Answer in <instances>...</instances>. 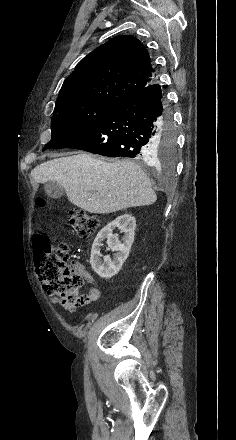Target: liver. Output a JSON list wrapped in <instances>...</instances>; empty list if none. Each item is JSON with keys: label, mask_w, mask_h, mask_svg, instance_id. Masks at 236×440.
<instances>
[{"label": "liver", "mask_w": 236, "mask_h": 440, "mask_svg": "<svg viewBox=\"0 0 236 440\" xmlns=\"http://www.w3.org/2000/svg\"><path fill=\"white\" fill-rule=\"evenodd\" d=\"M31 176L37 183L57 182L72 204L95 214L147 206L157 199L148 176L128 160L106 162L79 153L44 162Z\"/></svg>", "instance_id": "obj_1"}]
</instances>
